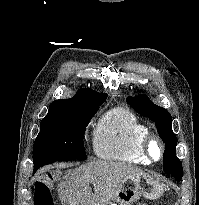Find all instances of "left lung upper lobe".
<instances>
[{"label":"left lung upper lobe","instance_id":"obj_1","mask_svg":"<svg viewBox=\"0 0 199 205\" xmlns=\"http://www.w3.org/2000/svg\"><path fill=\"white\" fill-rule=\"evenodd\" d=\"M127 102L137 113L155 122L159 136L166 146L163 154V170L165 173L176 177L177 181H180L183 176V168L181 161L175 154L177 137L172 131L170 113L152 103L146 95L128 97Z\"/></svg>","mask_w":199,"mask_h":205}]
</instances>
